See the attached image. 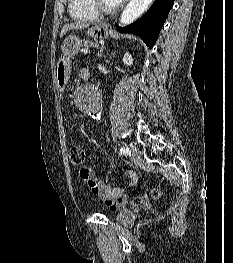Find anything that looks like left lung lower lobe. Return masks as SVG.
<instances>
[{"instance_id": "0a47b994", "label": "left lung lower lobe", "mask_w": 233, "mask_h": 263, "mask_svg": "<svg viewBox=\"0 0 233 263\" xmlns=\"http://www.w3.org/2000/svg\"><path fill=\"white\" fill-rule=\"evenodd\" d=\"M174 0H155L150 9L136 22L118 30L126 33H134L141 37L149 48H152L164 25Z\"/></svg>"}]
</instances>
